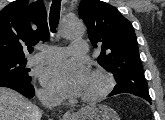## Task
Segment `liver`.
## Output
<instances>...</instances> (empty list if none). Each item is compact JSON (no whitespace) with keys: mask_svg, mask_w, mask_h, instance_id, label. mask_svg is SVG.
Masks as SVG:
<instances>
[{"mask_svg":"<svg viewBox=\"0 0 165 120\" xmlns=\"http://www.w3.org/2000/svg\"><path fill=\"white\" fill-rule=\"evenodd\" d=\"M41 111L31 101L9 88L0 87V120H40Z\"/></svg>","mask_w":165,"mask_h":120,"instance_id":"liver-1","label":"liver"}]
</instances>
